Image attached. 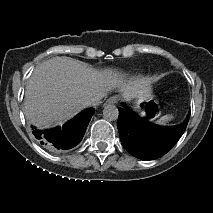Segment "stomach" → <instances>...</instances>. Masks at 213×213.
Masks as SVG:
<instances>
[{
    "label": "stomach",
    "mask_w": 213,
    "mask_h": 213,
    "mask_svg": "<svg viewBox=\"0 0 213 213\" xmlns=\"http://www.w3.org/2000/svg\"><path fill=\"white\" fill-rule=\"evenodd\" d=\"M150 102L158 103V100L151 94V88L148 93L139 94L134 100V104L138 110H145L146 105Z\"/></svg>",
    "instance_id": "obj_1"
}]
</instances>
